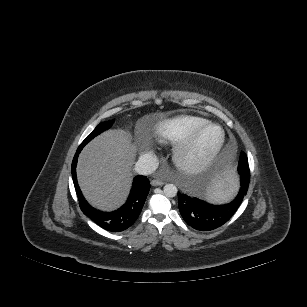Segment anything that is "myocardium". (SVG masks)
<instances>
[{"label":"myocardium","mask_w":307,"mask_h":307,"mask_svg":"<svg viewBox=\"0 0 307 307\" xmlns=\"http://www.w3.org/2000/svg\"><path fill=\"white\" fill-rule=\"evenodd\" d=\"M210 128L219 130L220 136L215 146L205 155L190 159L189 156L196 147L200 136ZM225 142L224 130L215 123H206L193 131L174 150L173 158L176 165L188 173H199L209 167L220 153Z\"/></svg>","instance_id":"myocardium-1"}]
</instances>
